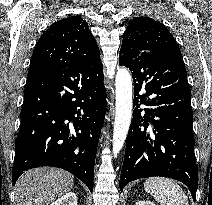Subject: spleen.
<instances>
[{
	"instance_id": "1",
	"label": "spleen",
	"mask_w": 212,
	"mask_h": 205,
	"mask_svg": "<svg viewBox=\"0 0 212 205\" xmlns=\"http://www.w3.org/2000/svg\"><path fill=\"white\" fill-rule=\"evenodd\" d=\"M144 189L161 205H189L183 189L172 179L163 177L148 178Z\"/></svg>"
}]
</instances>
